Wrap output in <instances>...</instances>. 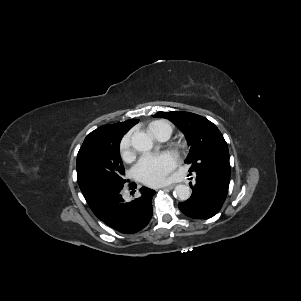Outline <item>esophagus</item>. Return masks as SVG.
<instances>
[{"label":"esophagus","mask_w":301,"mask_h":301,"mask_svg":"<svg viewBox=\"0 0 301 301\" xmlns=\"http://www.w3.org/2000/svg\"><path fill=\"white\" fill-rule=\"evenodd\" d=\"M174 187H175V185H174V184H171V185H167V186L162 187V189H168V190H171V189H173Z\"/></svg>","instance_id":"34e87169"}]
</instances>
